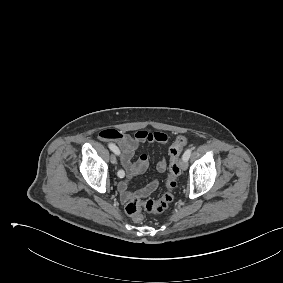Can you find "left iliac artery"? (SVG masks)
I'll return each instance as SVG.
<instances>
[{
	"mask_svg": "<svg viewBox=\"0 0 283 283\" xmlns=\"http://www.w3.org/2000/svg\"><path fill=\"white\" fill-rule=\"evenodd\" d=\"M192 149H187L183 154V159L188 160L191 156Z\"/></svg>",
	"mask_w": 283,
	"mask_h": 283,
	"instance_id": "obj_1",
	"label": "left iliac artery"
}]
</instances>
